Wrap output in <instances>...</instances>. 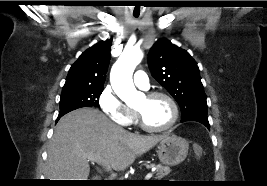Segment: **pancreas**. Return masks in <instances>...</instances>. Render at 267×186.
Returning <instances> with one entry per match:
<instances>
[{
	"label": "pancreas",
	"instance_id": "obj_1",
	"mask_svg": "<svg viewBox=\"0 0 267 186\" xmlns=\"http://www.w3.org/2000/svg\"><path fill=\"white\" fill-rule=\"evenodd\" d=\"M148 167H155L156 171H155V179H161L165 176H167L170 173V168L168 166H163V165H155V164H151Z\"/></svg>",
	"mask_w": 267,
	"mask_h": 186
}]
</instances>
